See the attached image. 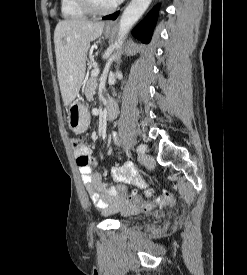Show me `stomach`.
Here are the masks:
<instances>
[{"mask_svg":"<svg viewBox=\"0 0 247 275\" xmlns=\"http://www.w3.org/2000/svg\"><path fill=\"white\" fill-rule=\"evenodd\" d=\"M112 34L110 29H105V36L109 37ZM68 124L74 132H84L87 130L90 123V114L87 107L79 100L72 102L68 106Z\"/></svg>","mask_w":247,"mask_h":275,"instance_id":"obj_1","label":"stomach"}]
</instances>
